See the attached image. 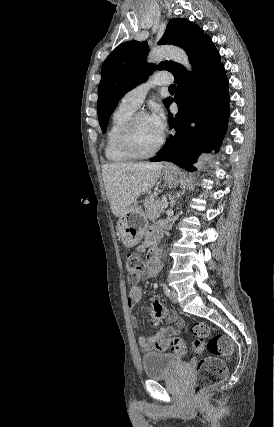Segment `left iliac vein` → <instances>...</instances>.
<instances>
[{
    "instance_id": "4c4485c4",
    "label": "left iliac vein",
    "mask_w": 274,
    "mask_h": 427,
    "mask_svg": "<svg viewBox=\"0 0 274 427\" xmlns=\"http://www.w3.org/2000/svg\"><path fill=\"white\" fill-rule=\"evenodd\" d=\"M170 299H171V301H172L173 303H177V300H178V294H177V292H176V291H172V292H171V297H170Z\"/></svg>"
}]
</instances>
